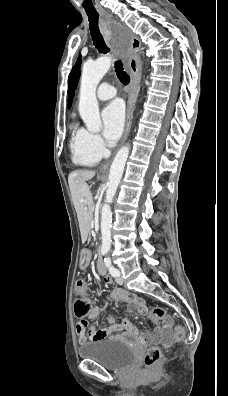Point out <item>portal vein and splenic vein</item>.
<instances>
[{
    "mask_svg": "<svg viewBox=\"0 0 228 396\" xmlns=\"http://www.w3.org/2000/svg\"><path fill=\"white\" fill-rule=\"evenodd\" d=\"M91 226H92V227L94 226V222L91 223Z\"/></svg>",
    "mask_w": 228,
    "mask_h": 396,
    "instance_id": "1",
    "label": "portal vein and splenic vein"
}]
</instances>
